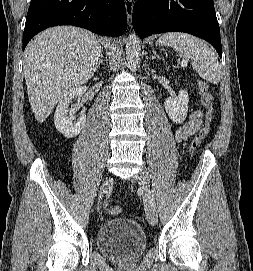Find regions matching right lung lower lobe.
Segmentation results:
<instances>
[{
	"label": "right lung lower lobe",
	"instance_id": "obj_1",
	"mask_svg": "<svg viewBox=\"0 0 253 271\" xmlns=\"http://www.w3.org/2000/svg\"><path fill=\"white\" fill-rule=\"evenodd\" d=\"M74 25L118 37L127 29L124 0H31L23 33V50L40 31Z\"/></svg>",
	"mask_w": 253,
	"mask_h": 271
}]
</instances>
